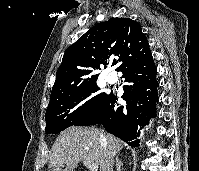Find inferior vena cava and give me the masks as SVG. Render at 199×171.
I'll return each mask as SVG.
<instances>
[{
    "label": "inferior vena cava",
    "instance_id": "obj_1",
    "mask_svg": "<svg viewBox=\"0 0 199 171\" xmlns=\"http://www.w3.org/2000/svg\"><path fill=\"white\" fill-rule=\"evenodd\" d=\"M113 164H114V158L113 156H110L106 164V171H113Z\"/></svg>",
    "mask_w": 199,
    "mask_h": 171
}]
</instances>
